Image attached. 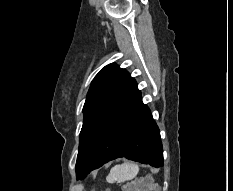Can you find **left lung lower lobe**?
I'll list each match as a JSON object with an SVG mask.
<instances>
[{
    "mask_svg": "<svg viewBox=\"0 0 233 191\" xmlns=\"http://www.w3.org/2000/svg\"><path fill=\"white\" fill-rule=\"evenodd\" d=\"M119 157L154 167H160L164 161L158 126L143 104L138 88L106 126L82 168L76 172L77 179Z\"/></svg>",
    "mask_w": 233,
    "mask_h": 191,
    "instance_id": "left-lung-lower-lobe-1",
    "label": "left lung lower lobe"
}]
</instances>
